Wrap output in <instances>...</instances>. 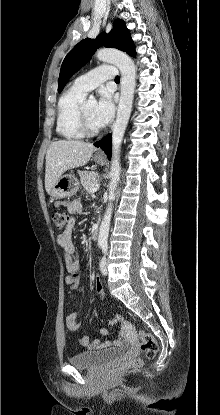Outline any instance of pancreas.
Returning <instances> with one entry per match:
<instances>
[{
	"label": "pancreas",
	"instance_id": "obj_1",
	"mask_svg": "<svg viewBox=\"0 0 220 415\" xmlns=\"http://www.w3.org/2000/svg\"><path fill=\"white\" fill-rule=\"evenodd\" d=\"M81 184L85 190L89 191L93 186L99 182L98 174L92 171H79Z\"/></svg>",
	"mask_w": 220,
	"mask_h": 415
}]
</instances>
